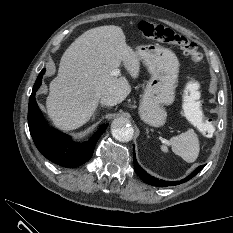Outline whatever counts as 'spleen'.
Wrapping results in <instances>:
<instances>
[{"label":"spleen","mask_w":233,"mask_h":233,"mask_svg":"<svg viewBox=\"0 0 233 233\" xmlns=\"http://www.w3.org/2000/svg\"><path fill=\"white\" fill-rule=\"evenodd\" d=\"M167 146H171L172 151L188 163L195 162L200 151L199 139L192 129L170 138L166 144L161 146V150L168 152Z\"/></svg>","instance_id":"3e777b00"}]
</instances>
